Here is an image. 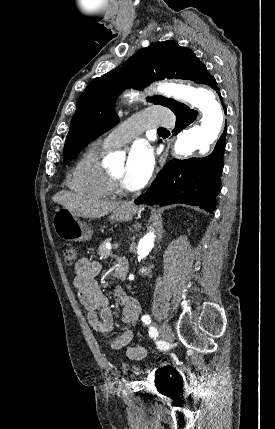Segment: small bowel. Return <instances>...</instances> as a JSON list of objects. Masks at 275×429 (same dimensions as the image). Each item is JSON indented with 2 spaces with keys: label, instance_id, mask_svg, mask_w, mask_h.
Returning a JSON list of instances; mask_svg holds the SVG:
<instances>
[{
  "label": "small bowel",
  "instance_id": "c3829d8e",
  "mask_svg": "<svg viewBox=\"0 0 275 429\" xmlns=\"http://www.w3.org/2000/svg\"><path fill=\"white\" fill-rule=\"evenodd\" d=\"M101 269L102 266L97 261L88 258L80 259L75 265L74 286L78 291L81 304L87 311L90 325L98 333L107 335L112 332L114 323L110 301L101 291L97 282ZM114 297L121 306V321L134 325L140 314L137 300L119 287L115 288ZM132 339V330L126 329L112 340L111 347L117 351L126 348V355L129 359L142 360L146 356V349L143 346L130 345Z\"/></svg>",
  "mask_w": 275,
  "mask_h": 429
}]
</instances>
